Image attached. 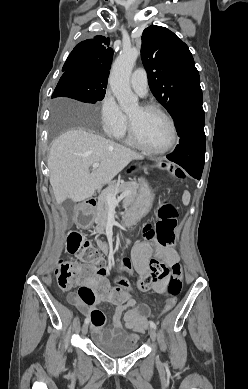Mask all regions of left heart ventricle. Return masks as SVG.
Instances as JSON below:
<instances>
[{
    "label": "left heart ventricle",
    "instance_id": "left-heart-ventricle-1",
    "mask_svg": "<svg viewBox=\"0 0 248 389\" xmlns=\"http://www.w3.org/2000/svg\"><path fill=\"white\" fill-rule=\"evenodd\" d=\"M128 116L132 119L139 138L146 146L159 149L169 143L171 129L167 120L159 113L144 110L138 105L128 113Z\"/></svg>",
    "mask_w": 248,
    "mask_h": 389
}]
</instances>
